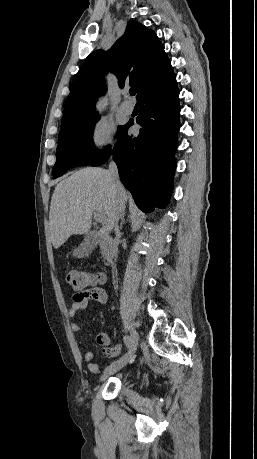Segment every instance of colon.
<instances>
[{"label": "colon", "mask_w": 257, "mask_h": 459, "mask_svg": "<svg viewBox=\"0 0 257 459\" xmlns=\"http://www.w3.org/2000/svg\"><path fill=\"white\" fill-rule=\"evenodd\" d=\"M67 284L77 291L76 300H82L87 295L88 286L96 281H103L101 274H93L81 269H68L65 272Z\"/></svg>", "instance_id": "obj_1"}]
</instances>
